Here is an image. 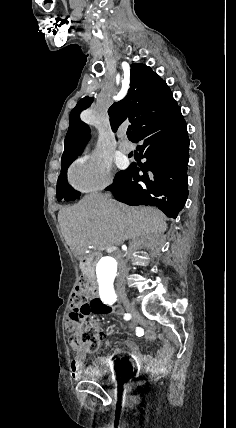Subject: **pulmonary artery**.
<instances>
[{
	"label": "pulmonary artery",
	"mask_w": 236,
	"mask_h": 428,
	"mask_svg": "<svg viewBox=\"0 0 236 428\" xmlns=\"http://www.w3.org/2000/svg\"><path fill=\"white\" fill-rule=\"evenodd\" d=\"M119 150L124 154H129L134 150V146L127 140H122L119 144Z\"/></svg>",
	"instance_id": "obj_1"
}]
</instances>
